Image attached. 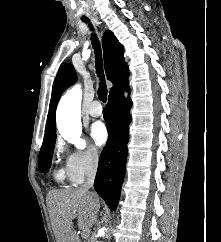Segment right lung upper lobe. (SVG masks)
<instances>
[{"mask_svg": "<svg viewBox=\"0 0 221 242\" xmlns=\"http://www.w3.org/2000/svg\"><path fill=\"white\" fill-rule=\"evenodd\" d=\"M102 46L107 79L113 82L114 87L129 74L124 59V48L111 31H105ZM76 81L77 75L71 64H65L59 69L53 84L44 139L56 136L55 113L57 103L63 91Z\"/></svg>", "mask_w": 221, "mask_h": 242, "instance_id": "right-lung-upper-lobe-1", "label": "right lung upper lobe"}]
</instances>
